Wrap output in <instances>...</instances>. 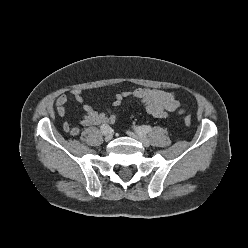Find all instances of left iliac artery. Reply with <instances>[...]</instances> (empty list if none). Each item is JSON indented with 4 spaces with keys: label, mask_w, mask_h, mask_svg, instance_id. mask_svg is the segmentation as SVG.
I'll return each instance as SVG.
<instances>
[{
    "label": "left iliac artery",
    "mask_w": 248,
    "mask_h": 248,
    "mask_svg": "<svg viewBox=\"0 0 248 248\" xmlns=\"http://www.w3.org/2000/svg\"><path fill=\"white\" fill-rule=\"evenodd\" d=\"M135 129L137 132L142 133V134H147L152 130L151 126H148V125L138 126Z\"/></svg>",
    "instance_id": "1"
}]
</instances>
